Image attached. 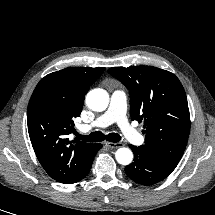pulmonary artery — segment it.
<instances>
[{
    "mask_svg": "<svg viewBox=\"0 0 215 215\" xmlns=\"http://www.w3.org/2000/svg\"><path fill=\"white\" fill-rule=\"evenodd\" d=\"M126 107V93L123 90H115L111 95L108 109L91 124L81 125L80 131L88 132L93 128H104L117 123L128 141L136 145L142 144L143 136L127 120Z\"/></svg>",
    "mask_w": 215,
    "mask_h": 215,
    "instance_id": "e3ab8cb5",
    "label": "pulmonary artery"
}]
</instances>
